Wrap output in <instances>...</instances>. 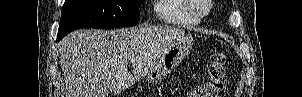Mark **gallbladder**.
Wrapping results in <instances>:
<instances>
[{
    "mask_svg": "<svg viewBox=\"0 0 302 97\" xmlns=\"http://www.w3.org/2000/svg\"><path fill=\"white\" fill-rule=\"evenodd\" d=\"M108 94H109V91H107V90H104V91H101L100 92V97H108Z\"/></svg>",
    "mask_w": 302,
    "mask_h": 97,
    "instance_id": "obj_1",
    "label": "gallbladder"
}]
</instances>
